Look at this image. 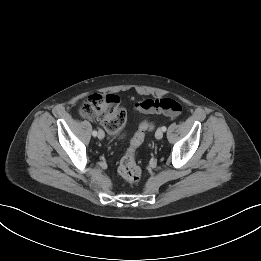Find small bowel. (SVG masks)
Wrapping results in <instances>:
<instances>
[{
  "instance_id": "obj_1",
  "label": "small bowel",
  "mask_w": 261,
  "mask_h": 261,
  "mask_svg": "<svg viewBox=\"0 0 261 261\" xmlns=\"http://www.w3.org/2000/svg\"><path fill=\"white\" fill-rule=\"evenodd\" d=\"M144 102H145V101H143V102L137 104V105H136V110L139 111V112H142V113H152V111H150V110H148V109H146V108L144 107ZM119 134H120V133H119Z\"/></svg>"
}]
</instances>
